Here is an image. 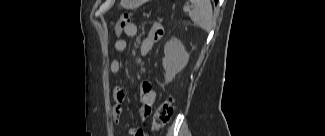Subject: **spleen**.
Returning <instances> with one entry per match:
<instances>
[{"label": "spleen", "mask_w": 325, "mask_h": 136, "mask_svg": "<svg viewBox=\"0 0 325 136\" xmlns=\"http://www.w3.org/2000/svg\"><path fill=\"white\" fill-rule=\"evenodd\" d=\"M194 9L189 12L192 21L198 27L209 32L213 27L212 6L209 0H193Z\"/></svg>", "instance_id": "1"}]
</instances>
